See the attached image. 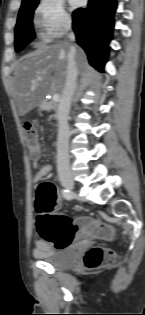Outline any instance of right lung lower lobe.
Returning <instances> with one entry per match:
<instances>
[{"label":"right lung lower lobe","mask_w":145,"mask_h":315,"mask_svg":"<svg viewBox=\"0 0 145 315\" xmlns=\"http://www.w3.org/2000/svg\"><path fill=\"white\" fill-rule=\"evenodd\" d=\"M116 8V0H89L86 8L73 12L77 43L87 53L89 63L99 70L107 61Z\"/></svg>","instance_id":"right-lung-lower-lobe-1"}]
</instances>
